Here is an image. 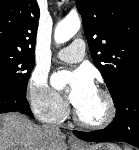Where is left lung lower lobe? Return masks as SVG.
<instances>
[{"label": "left lung lower lobe", "instance_id": "obj_1", "mask_svg": "<svg viewBox=\"0 0 139 150\" xmlns=\"http://www.w3.org/2000/svg\"><path fill=\"white\" fill-rule=\"evenodd\" d=\"M114 104L116 116L107 128L74 134L85 141L126 142L139 148V76L126 83Z\"/></svg>", "mask_w": 139, "mask_h": 150}]
</instances>
